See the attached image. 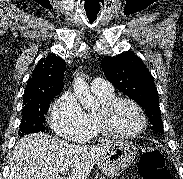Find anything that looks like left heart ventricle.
Segmentation results:
<instances>
[{
  "mask_svg": "<svg viewBox=\"0 0 183 179\" xmlns=\"http://www.w3.org/2000/svg\"><path fill=\"white\" fill-rule=\"evenodd\" d=\"M141 123L142 119L139 112L129 103H121L109 119L110 127L119 133L135 132Z\"/></svg>",
  "mask_w": 183,
  "mask_h": 179,
  "instance_id": "b2bd125f",
  "label": "left heart ventricle"
}]
</instances>
